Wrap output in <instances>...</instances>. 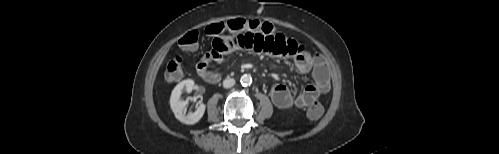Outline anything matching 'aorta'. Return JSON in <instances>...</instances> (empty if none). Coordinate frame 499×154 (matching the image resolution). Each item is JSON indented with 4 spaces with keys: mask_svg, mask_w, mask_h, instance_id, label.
Listing matches in <instances>:
<instances>
[{
    "mask_svg": "<svg viewBox=\"0 0 499 154\" xmlns=\"http://www.w3.org/2000/svg\"><path fill=\"white\" fill-rule=\"evenodd\" d=\"M240 83H241V85H242V86H245V87H246V86H250V85H251V83H252V78H251V76H250V75H247V74L243 75V76L241 77V79H240Z\"/></svg>",
    "mask_w": 499,
    "mask_h": 154,
    "instance_id": "1",
    "label": "aorta"
}]
</instances>
